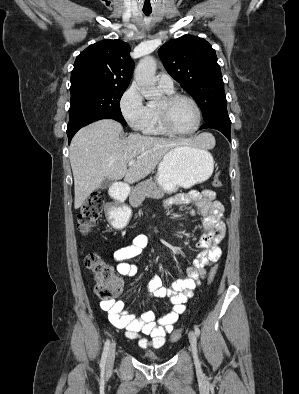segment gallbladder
I'll return each mask as SVG.
<instances>
[{
  "mask_svg": "<svg viewBox=\"0 0 299 394\" xmlns=\"http://www.w3.org/2000/svg\"><path fill=\"white\" fill-rule=\"evenodd\" d=\"M113 181L109 178H105L99 186V189H107L112 185Z\"/></svg>",
  "mask_w": 299,
  "mask_h": 394,
  "instance_id": "1",
  "label": "gallbladder"
}]
</instances>
